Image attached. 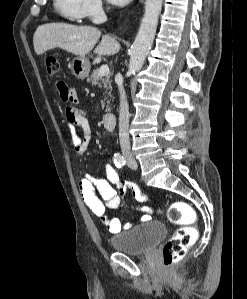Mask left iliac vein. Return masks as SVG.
<instances>
[{"label":"left iliac vein","instance_id":"4c4485c4","mask_svg":"<svg viewBox=\"0 0 247 299\" xmlns=\"http://www.w3.org/2000/svg\"><path fill=\"white\" fill-rule=\"evenodd\" d=\"M128 166L131 169H137L138 167L137 162L133 158H128Z\"/></svg>","mask_w":247,"mask_h":299}]
</instances>
